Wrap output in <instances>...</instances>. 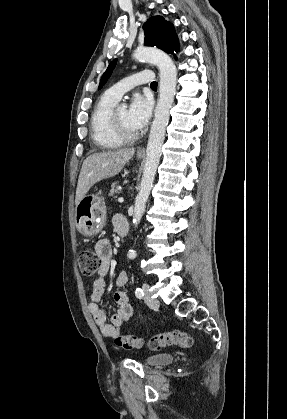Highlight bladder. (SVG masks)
Wrapping results in <instances>:
<instances>
[{
  "label": "bladder",
  "instance_id": "bladder-1",
  "mask_svg": "<svg viewBox=\"0 0 287 419\" xmlns=\"http://www.w3.org/2000/svg\"><path fill=\"white\" fill-rule=\"evenodd\" d=\"M174 360L171 354H155L149 355L146 362L150 365H166L172 363Z\"/></svg>",
  "mask_w": 287,
  "mask_h": 419
}]
</instances>
